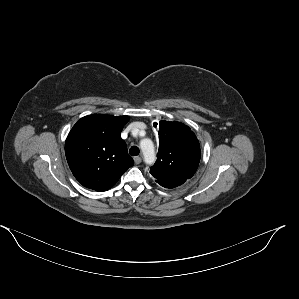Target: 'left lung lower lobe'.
Instances as JSON below:
<instances>
[{
  "mask_svg": "<svg viewBox=\"0 0 299 299\" xmlns=\"http://www.w3.org/2000/svg\"><path fill=\"white\" fill-rule=\"evenodd\" d=\"M187 178H177V179H167V180H157V183H159L161 186L165 188H175L177 186L182 185L185 183Z\"/></svg>",
  "mask_w": 299,
  "mask_h": 299,
  "instance_id": "obj_1",
  "label": "left lung lower lobe"
}]
</instances>
